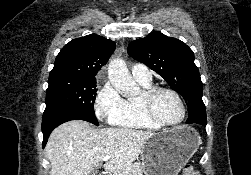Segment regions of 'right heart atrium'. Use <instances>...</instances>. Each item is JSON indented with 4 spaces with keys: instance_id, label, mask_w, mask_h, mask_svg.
I'll return each mask as SVG.
<instances>
[{
    "instance_id": "obj_1",
    "label": "right heart atrium",
    "mask_w": 251,
    "mask_h": 175,
    "mask_svg": "<svg viewBox=\"0 0 251 175\" xmlns=\"http://www.w3.org/2000/svg\"><path fill=\"white\" fill-rule=\"evenodd\" d=\"M99 83L100 87L93 103L95 115L102 122L117 124L125 111V100L104 76L100 77Z\"/></svg>"
}]
</instances>
